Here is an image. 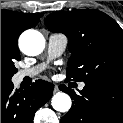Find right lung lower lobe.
Here are the masks:
<instances>
[{"instance_id":"1","label":"right lung lower lobe","mask_w":123,"mask_h":123,"mask_svg":"<svg viewBox=\"0 0 123 123\" xmlns=\"http://www.w3.org/2000/svg\"><path fill=\"white\" fill-rule=\"evenodd\" d=\"M53 88L44 80L25 90H15L11 81L1 83V123H32L36 110L52 97Z\"/></svg>"}]
</instances>
